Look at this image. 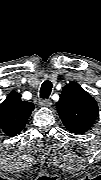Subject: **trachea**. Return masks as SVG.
Segmentation results:
<instances>
[{
  "label": "trachea",
  "mask_w": 101,
  "mask_h": 180,
  "mask_svg": "<svg viewBox=\"0 0 101 180\" xmlns=\"http://www.w3.org/2000/svg\"><path fill=\"white\" fill-rule=\"evenodd\" d=\"M52 82L49 80H46L42 83L41 89H40V98L47 99L52 91Z\"/></svg>",
  "instance_id": "1"
}]
</instances>
